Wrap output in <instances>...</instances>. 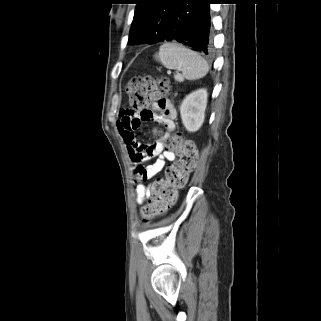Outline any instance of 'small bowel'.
Segmentation results:
<instances>
[{
	"label": "small bowel",
	"mask_w": 321,
	"mask_h": 321,
	"mask_svg": "<svg viewBox=\"0 0 321 321\" xmlns=\"http://www.w3.org/2000/svg\"><path fill=\"white\" fill-rule=\"evenodd\" d=\"M176 109L169 99L160 98L151 104L150 108L131 111L122 110L118 121V131L126 145L128 155L134 166L133 173L136 181V201L142 204L151 195V185L144 181L152 179L165 166L166 162L175 159V153L166 149L165 143L170 133L175 129ZM153 120L164 126L167 132L153 143L142 144L135 136V131L143 121ZM154 133H158L154 130ZM152 158L156 160L145 165Z\"/></svg>",
	"instance_id": "c3829d8e"
}]
</instances>
